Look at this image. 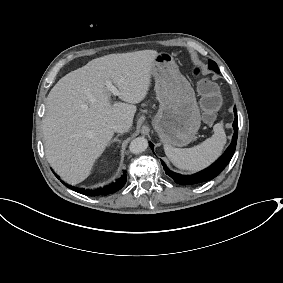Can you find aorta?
Returning a JSON list of instances; mask_svg holds the SVG:
<instances>
[{
    "instance_id": "obj_1",
    "label": "aorta",
    "mask_w": 283,
    "mask_h": 283,
    "mask_svg": "<svg viewBox=\"0 0 283 283\" xmlns=\"http://www.w3.org/2000/svg\"><path fill=\"white\" fill-rule=\"evenodd\" d=\"M148 147V141L144 137H138L131 141L129 150L133 154H140L144 152Z\"/></svg>"
}]
</instances>
